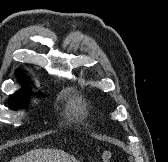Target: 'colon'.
<instances>
[{"label": "colon", "mask_w": 168, "mask_h": 162, "mask_svg": "<svg viewBox=\"0 0 168 162\" xmlns=\"http://www.w3.org/2000/svg\"><path fill=\"white\" fill-rule=\"evenodd\" d=\"M102 162H112L113 153L111 151H104L101 155Z\"/></svg>", "instance_id": "5ec220e1"}]
</instances>
